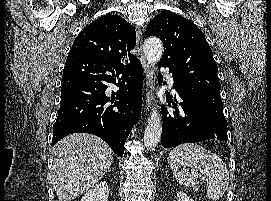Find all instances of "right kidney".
<instances>
[{
	"mask_svg": "<svg viewBox=\"0 0 271 201\" xmlns=\"http://www.w3.org/2000/svg\"><path fill=\"white\" fill-rule=\"evenodd\" d=\"M108 195V185L105 181H101L86 192L81 201H108Z\"/></svg>",
	"mask_w": 271,
	"mask_h": 201,
	"instance_id": "ca27d5eb",
	"label": "right kidney"
}]
</instances>
